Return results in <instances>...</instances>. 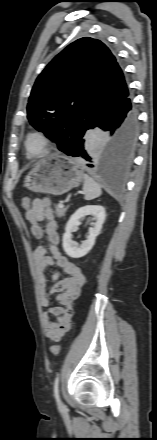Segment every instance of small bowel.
Masks as SVG:
<instances>
[{"label": "small bowel", "instance_id": "c3829d8e", "mask_svg": "<svg viewBox=\"0 0 157 440\" xmlns=\"http://www.w3.org/2000/svg\"><path fill=\"white\" fill-rule=\"evenodd\" d=\"M25 217L30 222L31 233L35 238L43 239L46 237V244L35 249L33 259L38 279L39 303L45 308L42 315L45 336L53 342H58L70 329L73 302L80 295L81 288L85 283V276L82 269L64 257L58 248L60 236L50 199L33 200ZM43 221H47L44 228L41 226ZM52 267L60 269L65 277L60 279V273L54 272L52 279L55 284L49 288L47 272ZM53 294H57L56 299L60 304L58 307L50 306ZM51 316H55L56 319L53 320Z\"/></svg>", "mask_w": 157, "mask_h": 440}]
</instances>
